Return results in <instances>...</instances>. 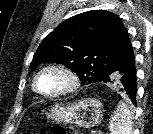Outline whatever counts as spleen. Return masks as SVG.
Instances as JSON below:
<instances>
[{
    "label": "spleen",
    "instance_id": "spleen-1",
    "mask_svg": "<svg viewBox=\"0 0 153 134\" xmlns=\"http://www.w3.org/2000/svg\"><path fill=\"white\" fill-rule=\"evenodd\" d=\"M132 118L131 110L120 101L109 122L110 134H132Z\"/></svg>",
    "mask_w": 153,
    "mask_h": 134
}]
</instances>
